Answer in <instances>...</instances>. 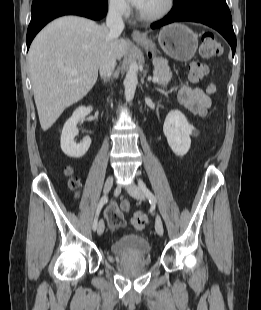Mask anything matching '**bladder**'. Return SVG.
Segmentation results:
<instances>
[{"label": "bladder", "instance_id": "bladder-1", "mask_svg": "<svg viewBox=\"0 0 261 310\" xmlns=\"http://www.w3.org/2000/svg\"><path fill=\"white\" fill-rule=\"evenodd\" d=\"M150 242L140 234H127L111 245L112 253L117 257L141 258L150 255Z\"/></svg>", "mask_w": 261, "mask_h": 310}]
</instances>
